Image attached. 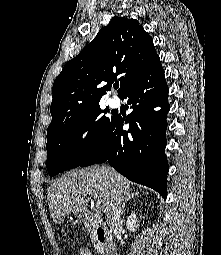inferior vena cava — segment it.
<instances>
[{"instance_id":"602c4592","label":"inferior vena cava","mask_w":221,"mask_h":255,"mask_svg":"<svg viewBox=\"0 0 221 255\" xmlns=\"http://www.w3.org/2000/svg\"><path fill=\"white\" fill-rule=\"evenodd\" d=\"M121 201H122V194L117 193L113 197V202L111 204V208L109 212H107V223L111 230L120 226L122 224L121 220Z\"/></svg>"}]
</instances>
